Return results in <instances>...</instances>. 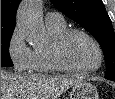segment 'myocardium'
Here are the masks:
<instances>
[{"mask_svg": "<svg viewBox=\"0 0 115 99\" xmlns=\"http://www.w3.org/2000/svg\"><path fill=\"white\" fill-rule=\"evenodd\" d=\"M75 34L85 36L94 45L97 52V63L93 67L87 69H79L69 65L65 61L63 57V47L66 41ZM50 57L58 70L78 75L94 73L102 66L103 63V51L100 43L92 34L80 28L67 29L62 34H60L51 44Z\"/></svg>", "mask_w": 115, "mask_h": 99, "instance_id": "myocardium-1", "label": "myocardium"}]
</instances>
